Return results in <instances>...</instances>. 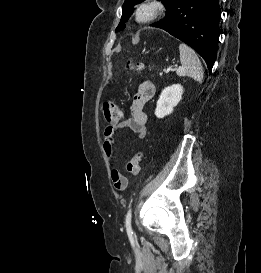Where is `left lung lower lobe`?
I'll use <instances>...</instances> for the list:
<instances>
[{"label": "left lung lower lobe", "instance_id": "left-lung-lower-lobe-1", "mask_svg": "<svg viewBox=\"0 0 261 273\" xmlns=\"http://www.w3.org/2000/svg\"><path fill=\"white\" fill-rule=\"evenodd\" d=\"M220 19L219 0H175L165 19L152 24L191 46L206 62L214 65Z\"/></svg>", "mask_w": 261, "mask_h": 273}]
</instances>
